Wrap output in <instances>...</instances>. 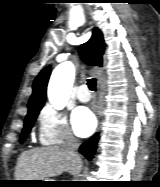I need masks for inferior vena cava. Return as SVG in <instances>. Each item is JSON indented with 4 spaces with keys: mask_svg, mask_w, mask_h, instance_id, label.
<instances>
[{
    "mask_svg": "<svg viewBox=\"0 0 160 187\" xmlns=\"http://www.w3.org/2000/svg\"><path fill=\"white\" fill-rule=\"evenodd\" d=\"M78 147H79L78 141L73 136H69L65 144V149L68 151L69 154H71L79 162L80 157L76 152Z\"/></svg>",
    "mask_w": 160,
    "mask_h": 187,
    "instance_id": "1",
    "label": "inferior vena cava"
}]
</instances>
